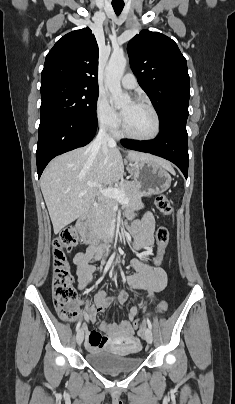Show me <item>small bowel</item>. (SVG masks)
Wrapping results in <instances>:
<instances>
[{
  "mask_svg": "<svg viewBox=\"0 0 235 404\" xmlns=\"http://www.w3.org/2000/svg\"><path fill=\"white\" fill-rule=\"evenodd\" d=\"M134 239V249L145 254L153 244L154 220L150 213H146L141 220L136 221L131 229ZM100 256V252L92 245H89L85 251L79 252L74 257L75 271L77 275L79 289H85L92 281L96 267L92 261ZM135 274L128 278V284L131 288L147 292L149 301L154 302V295L165 289L167 285V273L161 267H152L145 262L135 259L131 262ZM127 301L125 292L113 300L108 297L105 291H99L94 295L93 305L85 307L83 314L86 322H94L97 312H105L113 302L124 305ZM83 304V303H82ZM137 316V308L130 307L128 310L127 320H123L118 324L102 322L101 330L106 334L103 337L97 331L88 329L87 324L83 325L85 334L86 347L89 350H94L100 347H111L113 344L120 342H128L131 340L132 322ZM106 342L103 343L102 339Z\"/></svg>",
  "mask_w": 235,
  "mask_h": 404,
  "instance_id": "small-bowel-1",
  "label": "small bowel"
}]
</instances>
